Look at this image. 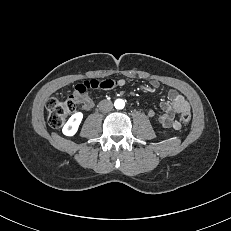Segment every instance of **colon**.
<instances>
[{
	"instance_id": "1",
	"label": "colon",
	"mask_w": 231,
	"mask_h": 231,
	"mask_svg": "<svg viewBox=\"0 0 231 231\" xmlns=\"http://www.w3.org/2000/svg\"><path fill=\"white\" fill-rule=\"evenodd\" d=\"M48 111V122L50 126L57 128L60 127L68 118V116L75 110V101L72 97L60 100L51 98L46 104ZM183 123H188L191 119L190 112H183L180 116Z\"/></svg>"
}]
</instances>
